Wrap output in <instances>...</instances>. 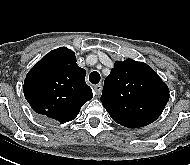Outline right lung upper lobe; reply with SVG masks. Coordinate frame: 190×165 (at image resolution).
Segmentation results:
<instances>
[{"mask_svg":"<svg viewBox=\"0 0 190 165\" xmlns=\"http://www.w3.org/2000/svg\"><path fill=\"white\" fill-rule=\"evenodd\" d=\"M85 75L86 71L77 65L72 50L57 48L45 55L26 75L25 98L36 113L61 124L71 121L93 97Z\"/></svg>","mask_w":190,"mask_h":165,"instance_id":"1","label":"right lung upper lobe"}]
</instances>
